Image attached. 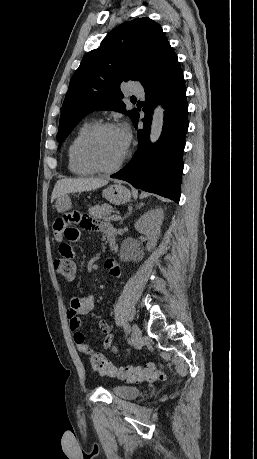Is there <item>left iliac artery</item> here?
Listing matches in <instances>:
<instances>
[{
  "label": "left iliac artery",
  "instance_id": "left-iliac-artery-1",
  "mask_svg": "<svg viewBox=\"0 0 257 459\" xmlns=\"http://www.w3.org/2000/svg\"><path fill=\"white\" fill-rule=\"evenodd\" d=\"M124 329H125V331H126L127 333H128V332H129V330H130V328H129V326H128V325H125V326H124Z\"/></svg>",
  "mask_w": 257,
  "mask_h": 459
}]
</instances>
